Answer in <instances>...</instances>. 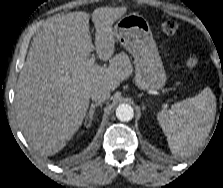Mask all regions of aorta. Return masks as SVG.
Segmentation results:
<instances>
[{
	"label": "aorta",
	"instance_id": "aorta-1",
	"mask_svg": "<svg viewBox=\"0 0 223 188\" xmlns=\"http://www.w3.org/2000/svg\"><path fill=\"white\" fill-rule=\"evenodd\" d=\"M116 116L120 121H130L134 117L133 108L129 104H120L116 109Z\"/></svg>",
	"mask_w": 223,
	"mask_h": 188
}]
</instances>
